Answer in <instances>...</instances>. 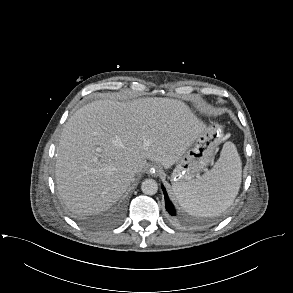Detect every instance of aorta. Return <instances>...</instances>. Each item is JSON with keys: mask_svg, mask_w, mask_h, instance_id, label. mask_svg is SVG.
<instances>
[{"mask_svg": "<svg viewBox=\"0 0 293 293\" xmlns=\"http://www.w3.org/2000/svg\"><path fill=\"white\" fill-rule=\"evenodd\" d=\"M141 190L146 195H154L158 191V184L154 179H145L141 184Z\"/></svg>", "mask_w": 293, "mask_h": 293, "instance_id": "obj_1", "label": "aorta"}]
</instances>
